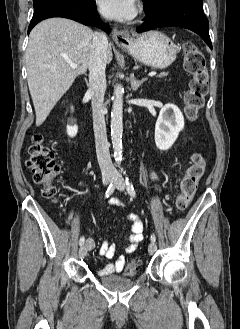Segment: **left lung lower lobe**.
<instances>
[{"label":"left lung lower lobe","instance_id":"1","mask_svg":"<svg viewBox=\"0 0 240 329\" xmlns=\"http://www.w3.org/2000/svg\"><path fill=\"white\" fill-rule=\"evenodd\" d=\"M145 22L137 32H146L156 28L178 26L194 31L212 49L209 36L208 19L203 12V0H168L160 7L148 10Z\"/></svg>","mask_w":240,"mask_h":329}]
</instances>
